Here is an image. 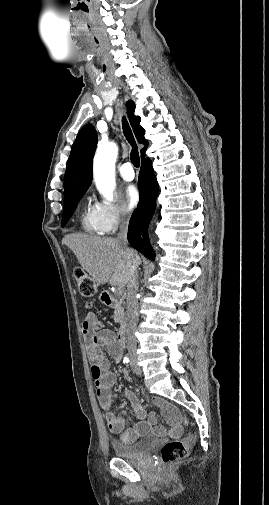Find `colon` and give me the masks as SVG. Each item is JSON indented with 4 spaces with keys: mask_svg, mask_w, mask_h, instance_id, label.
Instances as JSON below:
<instances>
[{
    "mask_svg": "<svg viewBox=\"0 0 269 505\" xmlns=\"http://www.w3.org/2000/svg\"><path fill=\"white\" fill-rule=\"evenodd\" d=\"M75 278L77 281L80 294L85 298H93L96 294V284L94 280L82 269L75 270ZM91 332H96L101 328L98 321H93L88 324ZM193 442L192 437L186 440H172L165 443L161 448V459L165 464L178 462L188 455L189 445Z\"/></svg>",
    "mask_w": 269,
    "mask_h": 505,
    "instance_id": "obj_1",
    "label": "colon"
}]
</instances>
